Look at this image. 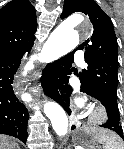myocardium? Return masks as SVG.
I'll return each instance as SVG.
<instances>
[{
  "label": "myocardium",
  "instance_id": "myocardium-1",
  "mask_svg": "<svg viewBox=\"0 0 124 149\" xmlns=\"http://www.w3.org/2000/svg\"><path fill=\"white\" fill-rule=\"evenodd\" d=\"M107 119H108V111L103 104L97 103L92 106L88 117V122L91 125L101 126L106 123Z\"/></svg>",
  "mask_w": 124,
  "mask_h": 149
}]
</instances>
